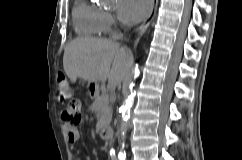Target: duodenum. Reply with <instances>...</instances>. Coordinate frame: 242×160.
Segmentation results:
<instances>
[{
  "label": "duodenum",
  "mask_w": 242,
  "mask_h": 160,
  "mask_svg": "<svg viewBox=\"0 0 242 160\" xmlns=\"http://www.w3.org/2000/svg\"><path fill=\"white\" fill-rule=\"evenodd\" d=\"M99 135L101 139L108 140L111 136V128L110 127L101 128L99 131Z\"/></svg>",
  "instance_id": "410a0bca"
}]
</instances>
